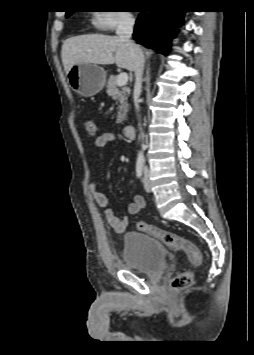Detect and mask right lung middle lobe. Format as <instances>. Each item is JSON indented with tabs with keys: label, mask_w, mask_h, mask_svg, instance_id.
Segmentation results:
<instances>
[{
	"label": "right lung middle lobe",
	"mask_w": 254,
	"mask_h": 355,
	"mask_svg": "<svg viewBox=\"0 0 254 355\" xmlns=\"http://www.w3.org/2000/svg\"><path fill=\"white\" fill-rule=\"evenodd\" d=\"M73 12H67L66 17H69Z\"/></svg>",
	"instance_id": "1"
}]
</instances>
